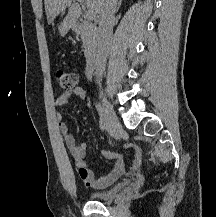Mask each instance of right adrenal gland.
I'll use <instances>...</instances> for the list:
<instances>
[{
    "mask_svg": "<svg viewBox=\"0 0 216 217\" xmlns=\"http://www.w3.org/2000/svg\"><path fill=\"white\" fill-rule=\"evenodd\" d=\"M121 3H122V0H119L118 5H117V11L120 9Z\"/></svg>",
    "mask_w": 216,
    "mask_h": 217,
    "instance_id": "obj_1",
    "label": "right adrenal gland"
}]
</instances>
